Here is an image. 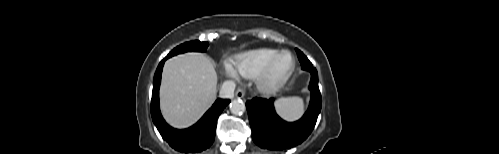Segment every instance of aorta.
I'll return each instance as SVG.
<instances>
[{
  "instance_id": "obj_1",
  "label": "aorta",
  "mask_w": 499,
  "mask_h": 154,
  "mask_svg": "<svg viewBox=\"0 0 499 154\" xmlns=\"http://www.w3.org/2000/svg\"><path fill=\"white\" fill-rule=\"evenodd\" d=\"M246 110L245 104L241 99H235L230 103V111L234 115H240Z\"/></svg>"
}]
</instances>
